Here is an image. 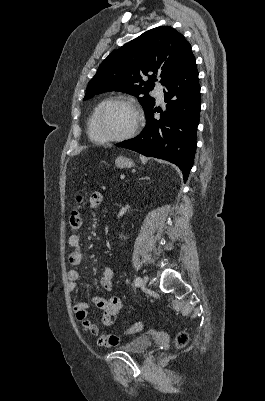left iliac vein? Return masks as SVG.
Here are the masks:
<instances>
[{
	"instance_id": "4c4485c4",
	"label": "left iliac vein",
	"mask_w": 265,
	"mask_h": 401,
	"mask_svg": "<svg viewBox=\"0 0 265 401\" xmlns=\"http://www.w3.org/2000/svg\"><path fill=\"white\" fill-rule=\"evenodd\" d=\"M142 279V278H141ZM146 282H147V278H144V279H142V282H141V288H145V286H146Z\"/></svg>"
}]
</instances>
